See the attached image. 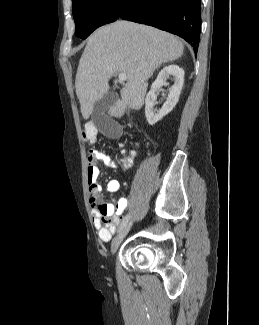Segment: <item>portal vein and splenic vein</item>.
<instances>
[{
  "label": "portal vein and splenic vein",
  "mask_w": 259,
  "mask_h": 325,
  "mask_svg": "<svg viewBox=\"0 0 259 325\" xmlns=\"http://www.w3.org/2000/svg\"><path fill=\"white\" fill-rule=\"evenodd\" d=\"M118 78H119L120 81H126L127 76H126V74H124V73H120V74L118 75Z\"/></svg>",
  "instance_id": "obj_1"
}]
</instances>
